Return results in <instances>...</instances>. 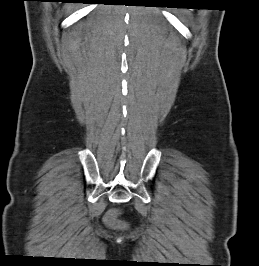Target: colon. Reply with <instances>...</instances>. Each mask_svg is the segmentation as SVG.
Segmentation results:
<instances>
[{
	"label": "colon",
	"mask_w": 259,
	"mask_h": 266,
	"mask_svg": "<svg viewBox=\"0 0 259 266\" xmlns=\"http://www.w3.org/2000/svg\"><path fill=\"white\" fill-rule=\"evenodd\" d=\"M106 224L113 229H123L126 223L119 218L117 210H110L105 217Z\"/></svg>",
	"instance_id": "5ec220e1"
}]
</instances>
